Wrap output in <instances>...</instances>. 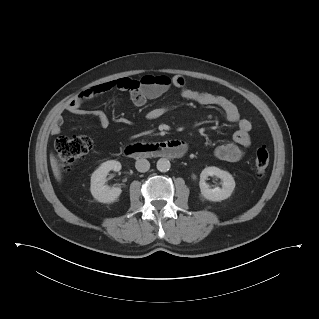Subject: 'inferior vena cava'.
Wrapping results in <instances>:
<instances>
[{"label": "inferior vena cava", "instance_id": "602c4592", "mask_svg": "<svg viewBox=\"0 0 319 319\" xmlns=\"http://www.w3.org/2000/svg\"><path fill=\"white\" fill-rule=\"evenodd\" d=\"M135 167L139 172H146L150 168V163L148 160L141 158L136 161Z\"/></svg>", "mask_w": 319, "mask_h": 319}]
</instances>
